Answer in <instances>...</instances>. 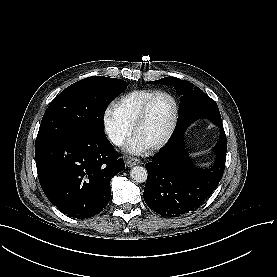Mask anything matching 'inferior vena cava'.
<instances>
[{"label":"inferior vena cava","instance_id":"obj_1","mask_svg":"<svg viewBox=\"0 0 277 277\" xmlns=\"http://www.w3.org/2000/svg\"><path fill=\"white\" fill-rule=\"evenodd\" d=\"M109 139L111 140V142L115 145H122L123 143V137L117 133V132H110L109 133Z\"/></svg>","mask_w":277,"mask_h":277}]
</instances>
